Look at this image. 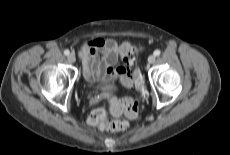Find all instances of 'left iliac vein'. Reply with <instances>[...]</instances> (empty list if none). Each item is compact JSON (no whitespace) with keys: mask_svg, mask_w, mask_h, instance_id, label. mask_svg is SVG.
Instances as JSON below:
<instances>
[{"mask_svg":"<svg viewBox=\"0 0 230 155\" xmlns=\"http://www.w3.org/2000/svg\"><path fill=\"white\" fill-rule=\"evenodd\" d=\"M155 60H156L155 55H150V56L148 57V62H149L150 64L154 63Z\"/></svg>","mask_w":230,"mask_h":155,"instance_id":"4c4485c4","label":"left iliac vein"}]
</instances>
